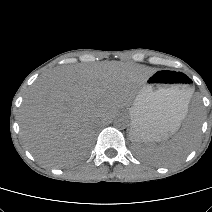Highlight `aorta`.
I'll use <instances>...</instances> for the list:
<instances>
[{"mask_svg":"<svg viewBox=\"0 0 212 212\" xmlns=\"http://www.w3.org/2000/svg\"><path fill=\"white\" fill-rule=\"evenodd\" d=\"M127 124L128 120L123 116H120L114 120V126L119 129L126 128Z\"/></svg>","mask_w":212,"mask_h":212,"instance_id":"1","label":"aorta"}]
</instances>
